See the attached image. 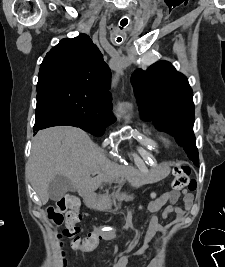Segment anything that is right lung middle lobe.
Listing matches in <instances>:
<instances>
[{"mask_svg": "<svg viewBox=\"0 0 225 267\" xmlns=\"http://www.w3.org/2000/svg\"><path fill=\"white\" fill-rule=\"evenodd\" d=\"M37 96H45L67 113L81 129L101 136L115 121L109 99L91 87L64 78L38 80Z\"/></svg>", "mask_w": 225, "mask_h": 267, "instance_id": "dd1d6c3e", "label": "right lung middle lobe"}]
</instances>
